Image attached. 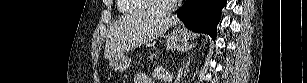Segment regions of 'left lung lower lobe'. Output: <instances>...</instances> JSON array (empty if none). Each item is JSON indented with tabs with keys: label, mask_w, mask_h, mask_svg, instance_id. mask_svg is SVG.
Returning <instances> with one entry per match:
<instances>
[{
	"label": "left lung lower lobe",
	"mask_w": 307,
	"mask_h": 83,
	"mask_svg": "<svg viewBox=\"0 0 307 83\" xmlns=\"http://www.w3.org/2000/svg\"><path fill=\"white\" fill-rule=\"evenodd\" d=\"M226 0H186L178 10V17L187 28L216 38L217 24Z\"/></svg>",
	"instance_id": "0a47b994"
}]
</instances>
